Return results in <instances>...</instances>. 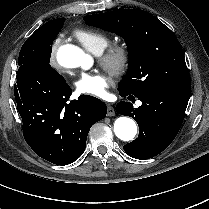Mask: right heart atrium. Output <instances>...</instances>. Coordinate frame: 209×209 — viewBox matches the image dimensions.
I'll list each match as a JSON object with an SVG mask.
<instances>
[{"mask_svg":"<svg viewBox=\"0 0 209 209\" xmlns=\"http://www.w3.org/2000/svg\"><path fill=\"white\" fill-rule=\"evenodd\" d=\"M60 45V40L55 39L52 41L50 48H49V61L53 67H56V52Z\"/></svg>","mask_w":209,"mask_h":209,"instance_id":"obj_1","label":"right heart atrium"}]
</instances>
